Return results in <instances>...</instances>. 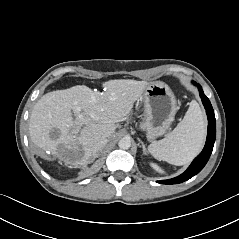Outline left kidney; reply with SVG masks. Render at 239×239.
Here are the masks:
<instances>
[{"instance_id": "left-kidney-1", "label": "left kidney", "mask_w": 239, "mask_h": 239, "mask_svg": "<svg viewBox=\"0 0 239 239\" xmlns=\"http://www.w3.org/2000/svg\"><path fill=\"white\" fill-rule=\"evenodd\" d=\"M150 165H151V167H152L153 169H155L156 171H158V172H163V171L161 170V168H160L159 166H157L156 164L151 163Z\"/></svg>"}]
</instances>
